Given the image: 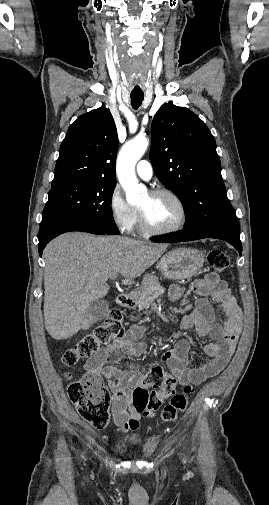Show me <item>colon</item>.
Segmentation results:
<instances>
[{
    "instance_id": "obj_1",
    "label": "colon",
    "mask_w": 269,
    "mask_h": 505,
    "mask_svg": "<svg viewBox=\"0 0 269 505\" xmlns=\"http://www.w3.org/2000/svg\"><path fill=\"white\" fill-rule=\"evenodd\" d=\"M208 263L216 271H223L229 265L227 254L213 249L208 254ZM124 327L122 313L113 308L107 318L92 332L85 335L62 355L61 363L66 368H73L80 360L97 354L112 339L122 336ZM67 373L66 377L71 378ZM177 380L161 367H153L141 378L133 391V406L145 416H152L162 403L171 397L163 408L161 418L164 422H175L186 410L188 395L192 387L186 385L183 393H175ZM68 395L80 416L96 429H103L109 422L110 395L97 375H84L68 386Z\"/></svg>"
}]
</instances>
